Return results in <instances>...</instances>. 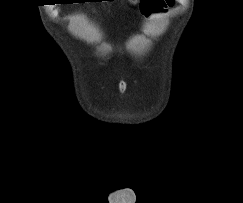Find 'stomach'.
<instances>
[{
  "label": "stomach",
  "mask_w": 243,
  "mask_h": 203,
  "mask_svg": "<svg viewBox=\"0 0 243 203\" xmlns=\"http://www.w3.org/2000/svg\"><path fill=\"white\" fill-rule=\"evenodd\" d=\"M130 2L135 4L137 0H130Z\"/></svg>",
  "instance_id": "0dacf381"
}]
</instances>
